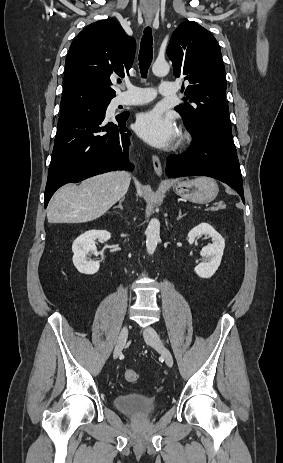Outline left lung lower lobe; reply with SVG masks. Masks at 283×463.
Masks as SVG:
<instances>
[{
	"label": "left lung lower lobe",
	"instance_id": "obj_1",
	"mask_svg": "<svg viewBox=\"0 0 283 463\" xmlns=\"http://www.w3.org/2000/svg\"><path fill=\"white\" fill-rule=\"evenodd\" d=\"M195 136L189 153L168 158L167 175H202L219 179L244 193L240 165L233 137L213 129H189Z\"/></svg>",
	"mask_w": 283,
	"mask_h": 463
}]
</instances>
